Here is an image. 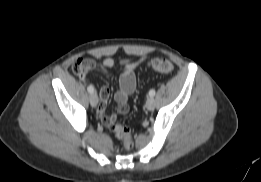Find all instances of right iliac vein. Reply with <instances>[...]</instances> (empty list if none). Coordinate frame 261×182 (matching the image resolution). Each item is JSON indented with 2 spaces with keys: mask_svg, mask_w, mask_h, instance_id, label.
Segmentation results:
<instances>
[{
  "mask_svg": "<svg viewBox=\"0 0 261 182\" xmlns=\"http://www.w3.org/2000/svg\"><path fill=\"white\" fill-rule=\"evenodd\" d=\"M90 104L95 107L98 104V96L96 93H91L89 96Z\"/></svg>",
  "mask_w": 261,
  "mask_h": 182,
  "instance_id": "right-iliac-vein-1",
  "label": "right iliac vein"
}]
</instances>
